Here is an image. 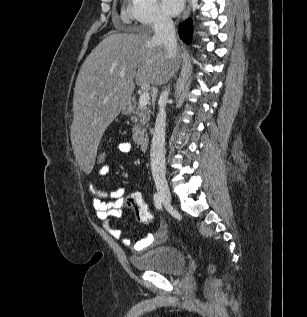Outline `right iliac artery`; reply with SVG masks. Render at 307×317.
Listing matches in <instances>:
<instances>
[{
    "label": "right iliac artery",
    "mask_w": 307,
    "mask_h": 317,
    "mask_svg": "<svg viewBox=\"0 0 307 317\" xmlns=\"http://www.w3.org/2000/svg\"><path fill=\"white\" fill-rule=\"evenodd\" d=\"M154 205L157 209H160L162 207L161 198L158 193H155L153 196Z\"/></svg>",
    "instance_id": "obj_1"
}]
</instances>
